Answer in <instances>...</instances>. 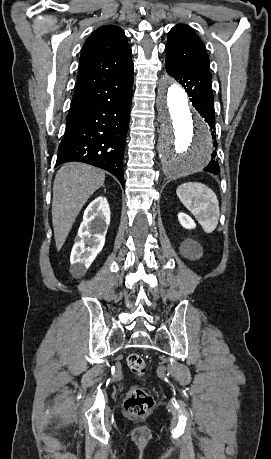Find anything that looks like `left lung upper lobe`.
Wrapping results in <instances>:
<instances>
[{"label": "left lung upper lobe", "mask_w": 271, "mask_h": 459, "mask_svg": "<svg viewBox=\"0 0 271 459\" xmlns=\"http://www.w3.org/2000/svg\"><path fill=\"white\" fill-rule=\"evenodd\" d=\"M166 64L182 70L209 72V56L194 30L178 24L168 34Z\"/></svg>", "instance_id": "obj_1"}]
</instances>
